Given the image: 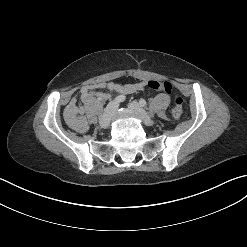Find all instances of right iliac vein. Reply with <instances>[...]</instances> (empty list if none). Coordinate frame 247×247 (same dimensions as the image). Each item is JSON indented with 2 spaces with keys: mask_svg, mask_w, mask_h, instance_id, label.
<instances>
[{
  "mask_svg": "<svg viewBox=\"0 0 247 247\" xmlns=\"http://www.w3.org/2000/svg\"><path fill=\"white\" fill-rule=\"evenodd\" d=\"M118 104L115 101H112L108 104L106 107L104 113L102 114L100 120H99V125L100 127L107 129L110 127L111 120L117 110Z\"/></svg>",
  "mask_w": 247,
  "mask_h": 247,
  "instance_id": "63e3f726",
  "label": "right iliac vein"
}]
</instances>
